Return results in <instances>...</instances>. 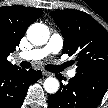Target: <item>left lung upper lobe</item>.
Listing matches in <instances>:
<instances>
[{"mask_svg": "<svg viewBox=\"0 0 108 108\" xmlns=\"http://www.w3.org/2000/svg\"><path fill=\"white\" fill-rule=\"evenodd\" d=\"M64 37L63 53L76 56L78 74L108 73V33L85 12H51Z\"/></svg>", "mask_w": 108, "mask_h": 108, "instance_id": "1", "label": "left lung upper lobe"}]
</instances>
